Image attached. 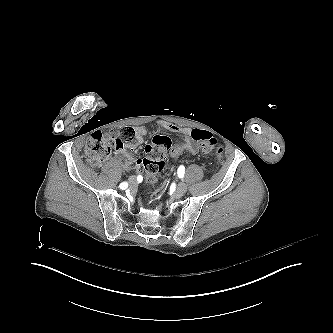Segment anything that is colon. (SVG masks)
Instances as JSON below:
<instances>
[{"label":"colon","mask_w":333,"mask_h":333,"mask_svg":"<svg viewBox=\"0 0 333 333\" xmlns=\"http://www.w3.org/2000/svg\"><path fill=\"white\" fill-rule=\"evenodd\" d=\"M189 133L192 131L190 128L187 130ZM199 136L195 142L199 147L203 146V151L216 159H221L223 149L219 140L213 138L214 135L207 133L206 135L193 132L190 135ZM134 137V131L131 128H125L120 133L118 131L93 133L85 146V154L89 163L92 166L100 165L109 155L112 147L117 148L116 145H120L122 140L124 143L129 142ZM209 139L208 142L206 139ZM205 139L202 143L200 140ZM189 141L188 135H183L179 138L178 143L173 144L172 138L163 135L154 136L151 141L145 147V158L141 161V165L145 170L146 183L150 187L157 186L161 172L165 168V157L167 152H177L183 150L186 142Z\"/></svg>","instance_id":"1"}]
</instances>
